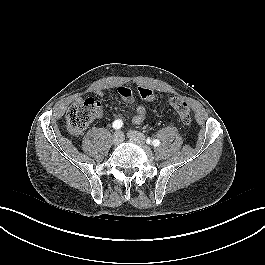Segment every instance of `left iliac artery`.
I'll return each mask as SVG.
<instances>
[{
  "label": "left iliac artery",
  "instance_id": "1",
  "mask_svg": "<svg viewBox=\"0 0 265 265\" xmlns=\"http://www.w3.org/2000/svg\"><path fill=\"white\" fill-rule=\"evenodd\" d=\"M146 142L148 144L152 143L154 146H159L160 145V141L159 140H153L151 141L149 138L146 140Z\"/></svg>",
  "mask_w": 265,
  "mask_h": 265
}]
</instances>
